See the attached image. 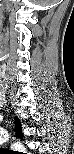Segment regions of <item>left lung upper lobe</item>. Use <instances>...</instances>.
<instances>
[{
    "label": "left lung upper lobe",
    "mask_w": 74,
    "mask_h": 154,
    "mask_svg": "<svg viewBox=\"0 0 74 154\" xmlns=\"http://www.w3.org/2000/svg\"><path fill=\"white\" fill-rule=\"evenodd\" d=\"M15 132L20 139H23L21 125L17 117H15Z\"/></svg>",
    "instance_id": "1"
}]
</instances>
